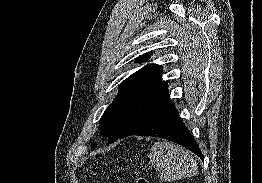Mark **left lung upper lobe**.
Wrapping results in <instances>:
<instances>
[{
  "instance_id": "1",
  "label": "left lung upper lobe",
  "mask_w": 262,
  "mask_h": 183,
  "mask_svg": "<svg viewBox=\"0 0 262 183\" xmlns=\"http://www.w3.org/2000/svg\"><path fill=\"white\" fill-rule=\"evenodd\" d=\"M148 58L150 54L136 60L144 62ZM161 74V66L148 64L119 85L120 91L99 122L102 135L110 137L109 143L137 132L169 99L168 85L161 80ZM95 146L92 144V148Z\"/></svg>"
}]
</instances>
